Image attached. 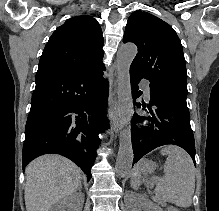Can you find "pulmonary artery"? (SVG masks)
I'll list each match as a JSON object with an SVG mask.
<instances>
[{"label": "pulmonary artery", "instance_id": "1", "mask_svg": "<svg viewBox=\"0 0 219 211\" xmlns=\"http://www.w3.org/2000/svg\"><path fill=\"white\" fill-rule=\"evenodd\" d=\"M143 90H144L146 96L149 97V86L148 85H144L143 86Z\"/></svg>", "mask_w": 219, "mask_h": 211}]
</instances>
